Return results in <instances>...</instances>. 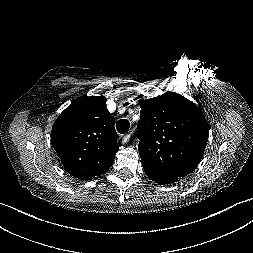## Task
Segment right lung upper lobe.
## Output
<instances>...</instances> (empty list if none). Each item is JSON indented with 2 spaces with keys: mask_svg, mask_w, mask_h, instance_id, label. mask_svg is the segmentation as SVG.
I'll return each mask as SVG.
<instances>
[{
  "mask_svg": "<svg viewBox=\"0 0 253 253\" xmlns=\"http://www.w3.org/2000/svg\"><path fill=\"white\" fill-rule=\"evenodd\" d=\"M104 96L80 98L56 119L51 144L70 175L90 180L111 166L120 144Z\"/></svg>",
  "mask_w": 253,
  "mask_h": 253,
  "instance_id": "cb5924a9",
  "label": "right lung upper lobe"
}]
</instances>
